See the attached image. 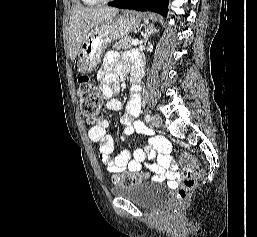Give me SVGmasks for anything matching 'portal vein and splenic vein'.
<instances>
[{"label": "portal vein and splenic vein", "mask_w": 257, "mask_h": 237, "mask_svg": "<svg viewBox=\"0 0 257 237\" xmlns=\"http://www.w3.org/2000/svg\"><path fill=\"white\" fill-rule=\"evenodd\" d=\"M138 43H139V40H138V39H135V40H133V41L131 42V44L134 45V46H137Z\"/></svg>", "instance_id": "18ae733b"}]
</instances>
